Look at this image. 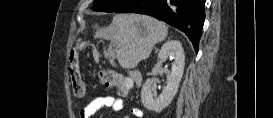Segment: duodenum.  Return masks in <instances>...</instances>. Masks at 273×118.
Returning <instances> with one entry per match:
<instances>
[{
    "label": "duodenum",
    "instance_id": "obj_1",
    "mask_svg": "<svg viewBox=\"0 0 273 118\" xmlns=\"http://www.w3.org/2000/svg\"><path fill=\"white\" fill-rule=\"evenodd\" d=\"M129 76L131 77L135 86H138L142 81L141 73L137 70H130Z\"/></svg>",
    "mask_w": 273,
    "mask_h": 118
}]
</instances>
